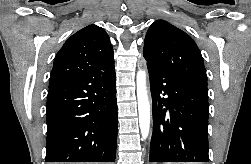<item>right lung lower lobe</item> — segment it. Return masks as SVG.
Here are the masks:
<instances>
[{
    "mask_svg": "<svg viewBox=\"0 0 251 164\" xmlns=\"http://www.w3.org/2000/svg\"><path fill=\"white\" fill-rule=\"evenodd\" d=\"M46 108V162L115 161L114 65L49 87Z\"/></svg>",
    "mask_w": 251,
    "mask_h": 164,
    "instance_id": "1",
    "label": "right lung lower lobe"
}]
</instances>
